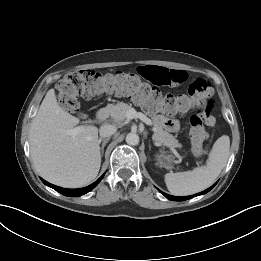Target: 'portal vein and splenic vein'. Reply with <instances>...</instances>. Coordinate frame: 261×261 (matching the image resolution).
I'll return each instance as SVG.
<instances>
[{"label": "portal vein and splenic vein", "instance_id": "obj_1", "mask_svg": "<svg viewBox=\"0 0 261 261\" xmlns=\"http://www.w3.org/2000/svg\"><path fill=\"white\" fill-rule=\"evenodd\" d=\"M126 118H128V119L139 118L141 121L145 122L146 124H148V125L151 124V120L146 115H144L141 112H136V110L134 108H131L126 112ZM79 130H80V127H75L73 129L68 130L67 134L74 135V134H77ZM175 154H177V153L175 152Z\"/></svg>", "mask_w": 261, "mask_h": 261}]
</instances>
